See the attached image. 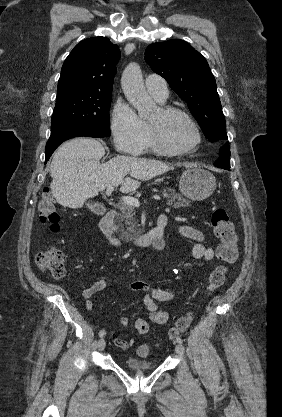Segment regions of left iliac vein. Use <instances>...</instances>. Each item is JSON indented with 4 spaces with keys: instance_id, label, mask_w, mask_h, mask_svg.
I'll list each match as a JSON object with an SVG mask.
<instances>
[{
    "instance_id": "4c4485c4",
    "label": "left iliac vein",
    "mask_w": 282,
    "mask_h": 417,
    "mask_svg": "<svg viewBox=\"0 0 282 417\" xmlns=\"http://www.w3.org/2000/svg\"><path fill=\"white\" fill-rule=\"evenodd\" d=\"M175 352L178 356H182L184 354V346L181 343H178L175 346Z\"/></svg>"
}]
</instances>
